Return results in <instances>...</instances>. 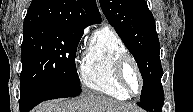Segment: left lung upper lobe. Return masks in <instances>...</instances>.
Here are the masks:
<instances>
[{
    "mask_svg": "<svg viewBox=\"0 0 193 112\" xmlns=\"http://www.w3.org/2000/svg\"><path fill=\"white\" fill-rule=\"evenodd\" d=\"M108 22L132 53L143 78L140 101L150 98L161 81L160 44L155 20L145 0H99Z\"/></svg>",
    "mask_w": 193,
    "mask_h": 112,
    "instance_id": "left-lung-upper-lobe-1",
    "label": "left lung upper lobe"
}]
</instances>
